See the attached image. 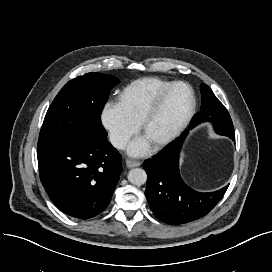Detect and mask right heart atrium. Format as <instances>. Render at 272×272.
<instances>
[{"label": "right heart atrium", "instance_id": "d8ad5b80", "mask_svg": "<svg viewBox=\"0 0 272 272\" xmlns=\"http://www.w3.org/2000/svg\"><path fill=\"white\" fill-rule=\"evenodd\" d=\"M100 122L110 143L118 149L124 148L138 130V125L129 119L119 103H106L100 112Z\"/></svg>", "mask_w": 272, "mask_h": 272}]
</instances>
